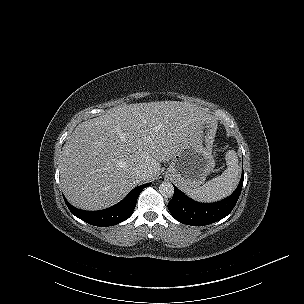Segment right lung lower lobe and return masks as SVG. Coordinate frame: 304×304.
I'll list each match as a JSON object with an SVG mask.
<instances>
[{"instance_id": "obj_1", "label": "right lung lower lobe", "mask_w": 304, "mask_h": 304, "mask_svg": "<svg viewBox=\"0 0 304 304\" xmlns=\"http://www.w3.org/2000/svg\"><path fill=\"white\" fill-rule=\"evenodd\" d=\"M150 183L137 186L134 188L121 202L100 211H84L79 210L70 205L64 198L66 205L73 215L94 226H113L125 221L132 214L137 198L141 191L148 187Z\"/></svg>"}]
</instances>
